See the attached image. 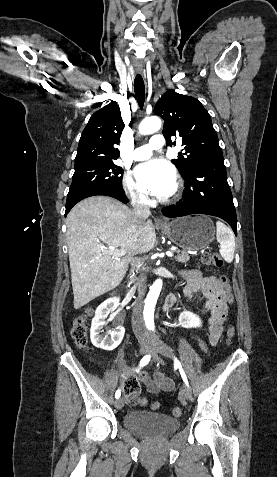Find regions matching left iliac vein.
Returning <instances> with one entry per match:
<instances>
[{
  "mask_svg": "<svg viewBox=\"0 0 277 477\" xmlns=\"http://www.w3.org/2000/svg\"><path fill=\"white\" fill-rule=\"evenodd\" d=\"M150 352L153 356H155L157 353L169 358H172L173 356L171 349L167 345L157 341L155 338H152L150 342ZM181 395L186 400H190L192 398L191 390L187 384L183 386Z\"/></svg>",
  "mask_w": 277,
  "mask_h": 477,
  "instance_id": "left-iliac-vein-1",
  "label": "left iliac vein"
}]
</instances>
